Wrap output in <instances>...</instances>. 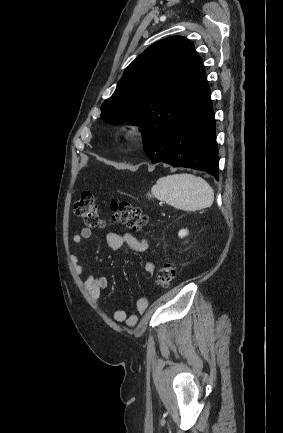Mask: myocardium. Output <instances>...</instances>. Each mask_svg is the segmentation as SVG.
<instances>
[{
    "instance_id": "f54148a6",
    "label": "myocardium",
    "mask_w": 283,
    "mask_h": 433,
    "mask_svg": "<svg viewBox=\"0 0 283 433\" xmlns=\"http://www.w3.org/2000/svg\"><path fill=\"white\" fill-rule=\"evenodd\" d=\"M142 132L140 125L136 123L128 124L123 130V136L126 139H134L138 137Z\"/></svg>"
}]
</instances>
